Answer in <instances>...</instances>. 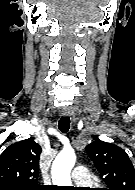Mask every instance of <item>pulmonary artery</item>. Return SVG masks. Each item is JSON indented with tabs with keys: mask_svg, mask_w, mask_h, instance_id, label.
I'll use <instances>...</instances> for the list:
<instances>
[{
	"mask_svg": "<svg viewBox=\"0 0 135 190\" xmlns=\"http://www.w3.org/2000/svg\"><path fill=\"white\" fill-rule=\"evenodd\" d=\"M73 181L81 186L89 185L91 183V178L87 168L84 166H77L72 172Z\"/></svg>",
	"mask_w": 135,
	"mask_h": 190,
	"instance_id": "e3ab8cb5",
	"label": "pulmonary artery"
}]
</instances>
